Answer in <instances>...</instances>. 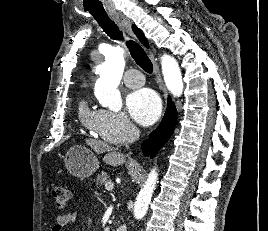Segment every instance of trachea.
Returning <instances> with one entry per match:
<instances>
[{
	"mask_svg": "<svg viewBox=\"0 0 268 231\" xmlns=\"http://www.w3.org/2000/svg\"><path fill=\"white\" fill-rule=\"evenodd\" d=\"M98 24L101 26L103 31L113 40H123V33L119 30L118 26L110 19H96ZM126 45L130 51V54L134 61L139 65L145 72L152 73L153 65L149 57L146 55L144 49L135 41L128 40Z\"/></svg>",
	"mask_w": 268,
	"mask_h": 231,
	"instance_id": "trachea-1",
	"label": "trachea"
}]
</instances>
